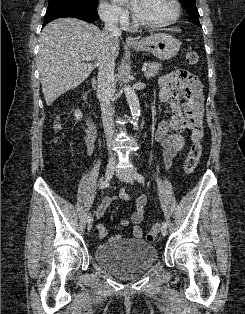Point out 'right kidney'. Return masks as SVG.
<instances>
[{"instance_id": "ca27d5eb", "label": "right kidney", "mask_w": 245, "mask_h": 314, "mask_svg": "<svg viewBox=\"0 0 245 314\" xmlns=\"http://www.w3.org/2000/svg\"><path fill=\"white\" fill-rule=\"evenodd\" d=\"M74 115L76 120H80L82 118V113L80 112V110H76Z\"/></svg>"}]
</instances>
